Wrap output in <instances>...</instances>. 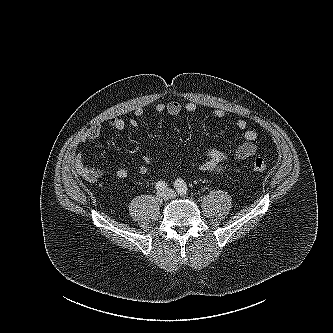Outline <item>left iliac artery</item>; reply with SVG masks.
I'll use <instances>...</instances> for the list:
<instances>
[{"instance_id": "obj_1", "label": "left iliac artery", "mask_w": 333, "mask_h": 333, "mask_svg": "<svg viewBox=\"0 0 333 333\" xmlns=\"http://www.w3.org/2000/svg\"><path fill=\"white\" fill-rule=\"evenodd\" d=\"M174 187L180 195H186L188 192L187 185L181 178L175 181Z\"/></svg>"}]
</instances>
